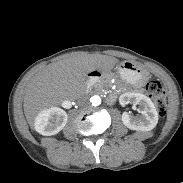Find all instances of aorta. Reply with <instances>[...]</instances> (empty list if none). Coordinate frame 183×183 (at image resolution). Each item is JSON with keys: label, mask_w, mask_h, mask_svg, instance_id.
<instances>
[{"label": "aorta", "mask_w": 183, "mask_h": 183, "mask_svg": "<svg viewBox=\"0 0 183 183\" xmlns=\"http://www.w3.org/2000/svg\"><path fill=\"white\" fill-rule=\"evenodd\" d=\"M90 102L93 106H98L101 104V98L98 95L92 96L90 98Z\"/></svg>", "instance_id": "762f6f07"}]
</instances>
